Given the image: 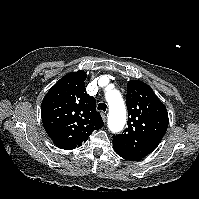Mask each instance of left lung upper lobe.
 <instances>
[{
  "mask_svg": "<svg viewBox=\"0 0 199 199\" xmlns=\"http://www.w3.org/2000/svg\"><path fill=\"white\" fill-rule=\"evenodd\" d=\"M126 105L128 127L123 134L113 136V145L144 158L157 147L167 130L166 107L149 85L138 80L128 81Z\"/></svg>",
  "mask_w": 199,
  "mask_h": 199,
  "instance_id": "5c2ea615",
  "label": "left lung upper lobe"
}]
</instances>
